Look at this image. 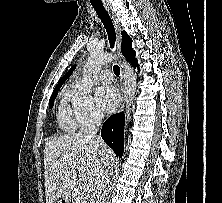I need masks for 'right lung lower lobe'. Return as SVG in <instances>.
Returning a JSON list of instances; mask_svg holds the SVG:
<instances>
[{
	"label": "right lung lower lobe",
	"instance_id": "1",
	"mask_svg": "<svg viewBox=\"0 0 222 203\" xmlns=\"http://www.w3.org/2000/svg\"><path fill=\"white\" fill-rule=\"evenodd\" d=\"M124 113L110 117L102 126L101 136L107 145L112 148L117 157L121 158L124 149Z\"/></svg>",
	"mask_w": 222,
	"mask_h": 203
}]
</instances>
